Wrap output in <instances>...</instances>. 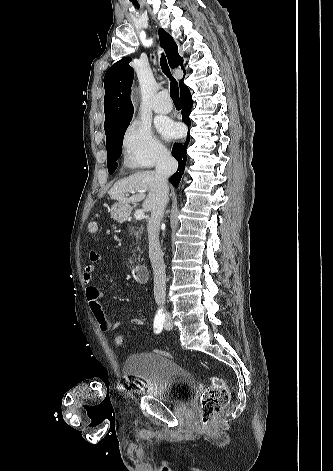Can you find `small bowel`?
Here are the masks:
<instances>
[{"mask_svg":"<svg viewBox=\"0 0 333 471\" xmlns=\"http://www.w3.org/2000/svg\"><path fill=\"white\" fill-rule=\"evenodd\" d=\"M102 260L100 254L95 251H91L88 255V262L83 270V282L86 285V299L89 305L90 312L96 321L99 329L102 332H111L120 327V321L110 322L107 318L103 306H102V297L103 294L101 290L95 286L93 281V276L96 268V264ZM130 323L135 326H142L144 321L139 317L130 318Z\"/></svg>","mask_w":333,"mask_h":471,"instance_id":"small-bowel-1","label":"small bowel"}]
</instances>
